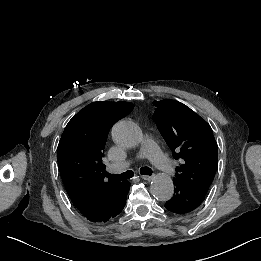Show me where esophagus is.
Here are the masks:
<instances>
[{"mask_svg": "<svg viewBox=\"0 0 261 261\" xmlns=\"http://www.w3.org/2000/svg\"><path fill=\"white\" fill-rule=\"evenodd\" d=\"M141 178L147 181H152L154 179V176L142 175Z\"/></svg>", "mask_w": 261, "mask_h": 261, "instance_id": "obj_1", "label": "esophagus"}]
</instances>
